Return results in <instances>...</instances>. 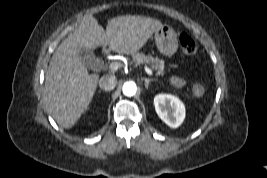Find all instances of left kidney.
Masks as SVG:
<instances>
[{
  "mask_svg": "<svg viewBox=\"0 0 267 178\" xmlns=\"http://www.w3.org/2000/svg\"><path fill=\"white\" fill-rule=\"evenodd\" d=\"M156 113L171 128L179 127L185 118V107L175 96L158 94L154 98Z\"/></svg>",
  "mask_w": 267,
  "mask_h": 178,
  "instance_id": "1",
  "label": "left kidney"
}]
</instances>
